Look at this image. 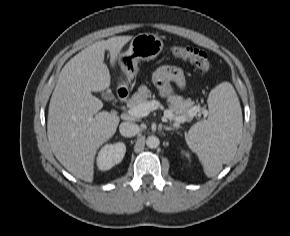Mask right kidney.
<instances>
[{
  "label": "right kidney",
  "mask_w": 290,
  "mask_h": 236,
  "mask_svg": "<svg viewBox=\"0 0 290 236\" xmlns=\"http://www.w3.org/2000/svg\"><path fill=\"white\" fill-rule=\"evenodd\" d=\"M126 146L122 142L104 145L98 153L97 166L106 171L120 163L125 155Z\"/></svg>",
  "instance_id": "right-kidney-1"
}]
</instances>
